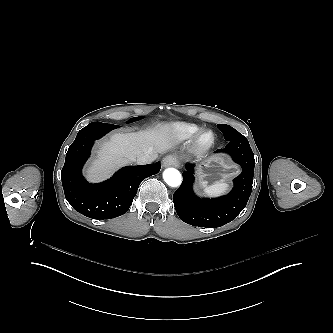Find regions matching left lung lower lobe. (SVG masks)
Listing matches in <instances>:
<instances>
[{
  "label": "left lung lower lobe",
  "instance_id": "0a47b994",
  "mask_svg": "<svg viewBox=\"0 0 333 333\" xmlns=\"http://www.w3.org/2000/svg\"><path fill=\"white\" fill-rule=\"evenodd\" d=\"M225 152L242 167V173L234 179V188L226 195L214 199H201L192 189L194 170L186 165L183 182L173 195L178 216L187 224L198 227L216 228L231 222L246 206L252 192L254 174V154L245 136L238 133L226 140Z\"/></svg>",
  "mask_w": 333,
  "mask_h": 333
}]
</instances>
